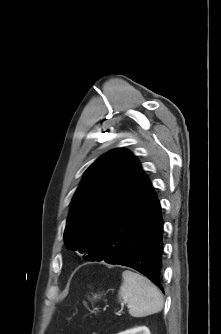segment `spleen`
<instances>
[{
  "mask_svg": "<svg viewBox=\"0 0 221 334\" xmlns=\"http://www.w3.org/2000/svg\"><path fill=\"white\" fill-rule=\"evenodd\" d=\"M122 278L119 298L127 303L130 315L144 317L162 310L163 295L151 281L129 270L123 271Z\"/></svg>",
  "mask_w": 221,
  "mask_h": 334,
  "instance_id": "3e777b00",
  "label": "spleen"
}]
</instances>
